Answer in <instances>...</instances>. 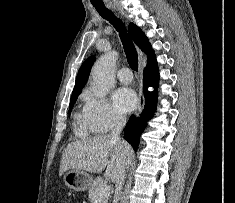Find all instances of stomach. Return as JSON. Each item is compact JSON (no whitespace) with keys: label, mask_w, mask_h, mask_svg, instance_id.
Masks as SVG:
<instances>
[{"label":"stomach","mask_w":235,"mask_h":203,"mask_svg":"<svg viewBox=\"0 0 235 203\" xmlns=\"http://www.w3.org/2000/svg\"><path fill=\"white\" fill-rule=\"evenodd\" d=\"M63 181L74 191H85L91 187L93 178L83 170L72 169L64 174Z\"/></svg>","instance_id":"obj_1"}]
</instances>
